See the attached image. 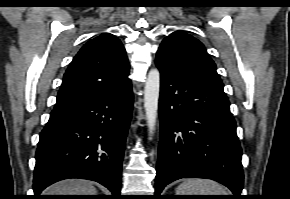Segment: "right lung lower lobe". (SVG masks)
Here are the masks:
<instances>
[{"label": "right lung lower lobe", "instance_id": "98d812e1", "mask_svg": "<svg viewBox=\"0 0 290 199\" xmlns=\"http://www.w3.org/2000/svg\"><path fill=\"white\" fill-rule=\"evenodd\" d=\"M131 83L110 94L54 108L36 152L33 199L67 178L99 182L120 198L121 166L131 120Z\"/></svg>", "mask_w": 290, "mask_h": 199}]
</instances>
